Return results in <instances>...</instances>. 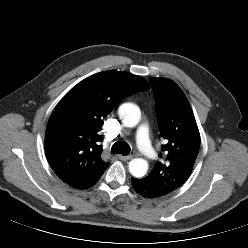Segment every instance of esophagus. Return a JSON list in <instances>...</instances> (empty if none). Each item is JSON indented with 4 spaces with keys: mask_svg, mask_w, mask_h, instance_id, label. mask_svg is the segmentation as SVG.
Segmentation results:
<instances>
[{
    "mask_svg": "<svg viewBox=\"0 0 248 248\" xmlns=\"http://www.w3.org/2000/svg\"><path fill=\"white\" fill-rule=\"evenodd\" d=\"M118 158L122 161H127V160H131L133 158V156H124V155H118Z\"/></svg>",
    "mask_w": 248,
    "mask_h": 248,
    "instance_id": "obj_1",
    "label": "esophagus"
}]
</instances>
